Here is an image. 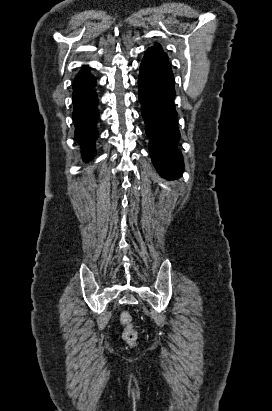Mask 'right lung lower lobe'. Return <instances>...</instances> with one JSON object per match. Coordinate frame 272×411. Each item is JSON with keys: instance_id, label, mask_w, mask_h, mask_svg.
I'll return each instance as SVG.
<instances>
[{"instance_id": "obj_1", "label": "right lung lower lobe", "mask_w": 272, "mask_h": 411, "mask_svg": "<svg viewBox=\"0 0 272 411\" xmlns=\"http://www.w3.org/2000/svg\"><path fill=\"white\" fill-rule=\"evenodd\" d=\"M95 87L96 79L93 77L82 86L73 88L72 94L75 139L81 145L85 160L95 156V140L98 137L96 123L99 118V111Z\"/></svg>"}]
</instances>
